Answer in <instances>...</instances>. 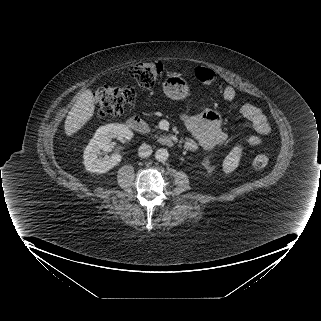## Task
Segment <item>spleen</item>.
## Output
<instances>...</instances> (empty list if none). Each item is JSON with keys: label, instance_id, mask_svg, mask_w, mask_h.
<instances>
[{"label": "spleen", "instance_id": "spleen-1", "mask_svg": "<svg viewBox=\"0 0 321 321\" xmlns=\"http://www.w3.org/2000/svg\"><path fill=\"white\" fill-rule=\"evenodd\" d=\"M240 154H241V149L239 146H236L227 155L223 163V167L226 172H230L235 169V167L239 162Z\"/></svg>", "mask_w": 321, "mask_h": 321}]
</instances>
